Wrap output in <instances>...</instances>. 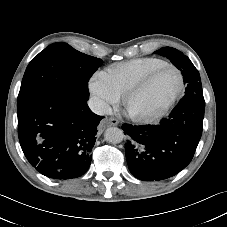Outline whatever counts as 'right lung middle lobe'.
Here are the masks:
<instances>
[{"instance_id":"dd1d6c3e","label":"right lung middle lobe","mask_w":227,"mask_h":227,"mask_svg":"<svg viewBox=\"0 0 227 227\" xmlns=\"http://www.w3.org/2000/svg\"><path fill=\"white\" fill-rule=\"evenodd\" d=\"M102 60L58 42L49 45L29 63L17 107L45 93H63L88 100V81Z\"/></svg>"}]
</instances>
